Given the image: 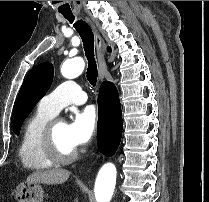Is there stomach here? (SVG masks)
Listing matches in <instances>:
<instances>
[{
  "instance_id": "0dacf381",
  "label": "stomach",
  "mask_w": 209,
  "mask_h": 202,
  "mask_svg": "<svg viewBox=\"0 0 209 202\" xmlns=\"http://www.w3.org/2000/svg\"><path fill=\"white\" fill-rule=\"evenodd\" d=\"M18 202H43L44 191L39 183L22 182L15 188Z\"/></svg>"
}]
</instances>
